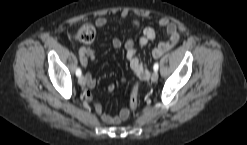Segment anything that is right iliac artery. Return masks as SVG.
I'll return each instance as SVG.
<instances>
[{
	"label": "right iliac artery",
	"instance_id": "right-iliac-artery-1",
	"mask_svg": "<svg viewBox=\"0 0 247 145\" xmlns=\"http://www.w3.org/2000/svg\"><path fill=\"white\" fill-rule=\"evenodd\" d=\"M81 74H82L81 69H80V68H78V69L76 70V75H77L78 77H80V76H81Z\"/></svg>",
	"mask_w": 247,
	"mask_h": 145
}]
</instances>
